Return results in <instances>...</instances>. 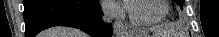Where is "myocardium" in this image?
Returning <instances> with one entry per match:
<instances>
[{
	"label": "myocardium",
	"instance_id": "f54148a6",
	"mask_svg": "<svg viewBox=\"0 0 219 37\" xmlns=\"http://www.w3.org/2000/svg\"><path fill=\"white\" fill-rule=\"evenodd\" d=\"M136 1H141V0H132L127 5L128 17L130 19V22L134 26H138V27L156 26V25L160 24L161 22H163L165 20V18L167 17V15L169 14V1L162 0L163 12L158 18L152 19V20H140V19L136 18L131 11L132 2H136Z\"/></svg>",
	"mask_w": 219,
	"mask_h": 37
}]
</instances>
